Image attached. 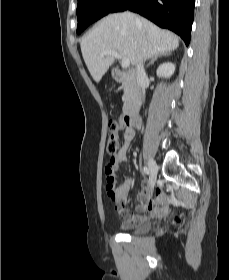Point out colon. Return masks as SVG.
Wrapping results in <instances>:
<instances>
[{"mask_svg": "<svg viewBox=\"0 0 229 280\" xmlns=\"http://www.w3.org/2000/svg\"><path fill=\"white\" fill-rule=\"evenodd\" d=\"M126 126L125 122H121L117 118H113L109 122L110 133L106 144V178L112 185H116V178L114 173V160L113 157L121 149V143L119 141L118 132Z\"/></svg>", "mask_w": 229, "mask_h": 280, "instance_id": "1", "label": "colon"}]
</instances>
